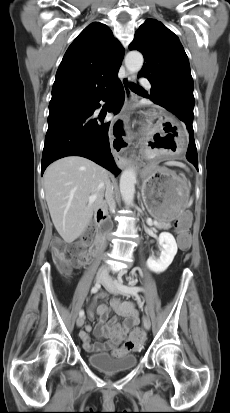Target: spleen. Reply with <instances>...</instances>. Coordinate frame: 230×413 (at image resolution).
Segmentation results:
<instances>
[{"label": "spleen", "mask_w": 230, "mask_h": 413, "mask_svg": "<svg viewBox=\"0 0 230 413\" xmlns=\"http://www.w3.org/2000/svg\"><path fill=\"white\" fill-rule=\"evenodd\" d=\"M166 165H168V166H178V167L184 168V169L187 170V171L189 170V169L186 167V165L183 164V163H181V162L169 161V162L166 163Z\"/></svg>", "instance_id": "1"}]
</instances>
